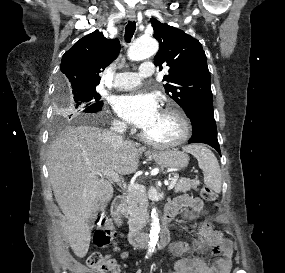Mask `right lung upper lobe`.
<instances>
[{"instance_id":"1","label":"right lung upper lobe","mask_w":285,"mask_h":273,"mask_svg":"<svg viewBox=\"0 0 285 273\" xmlns=\"http://www.w3.org/2000/svg\"><path fill=\"white\" fill-rule=\"evenodd\" d=\"M120 52L118 39H106L98 30L78 40L64 53L60 65L62 79L69 90L95 89L101 69L114 61Z\"/></svg>"}]
</instances>
